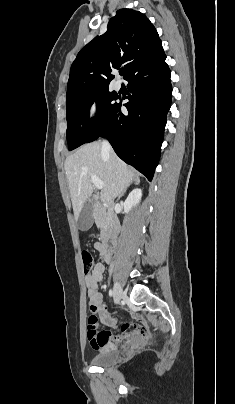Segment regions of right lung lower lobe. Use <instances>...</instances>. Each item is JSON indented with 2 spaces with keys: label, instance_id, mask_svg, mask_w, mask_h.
<instances>
[{
  "label": "right lung lower lobe",
  "instance_id": "1",
  "mask_svg": "<svg viewBox=\"0 0 235 404\" xmlns=\"http://www.w3.org/2000/svg\"><path fill=\"white\" fill-rule=\"evenodd\" d=\"M159 61L131 73L128 81V114L115 104L87 142L108 138L116 154L152 180L160 157L166 114L171 106V72Z\"/></svg>",
  "mask_w": 235,
  "mask_h": 404
}]
</instances>
